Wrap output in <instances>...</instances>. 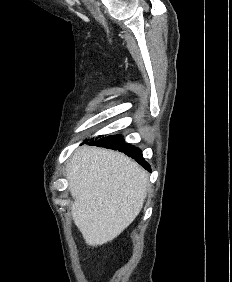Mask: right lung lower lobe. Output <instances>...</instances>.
Segmentation results:
<instances>
[{"label": "right lung lower lobe", "mask_w": 232, "mask_h": 282, "mask_svg": "<svg viewBox=\"0 0 232 282\" xmlns=\"http://www.w3.org/2000/svg\"><path fill=\"white\" fill-rule=\"evenodd\" d=\"M89 144L124 152L126 155L134 158L145 169L150 170L149 164L142 157L141 150L131 144L125 143L121 135L102 137L97 141H90Z\"/></svg>", "instance_id": "obj_1"}]
</instances>
